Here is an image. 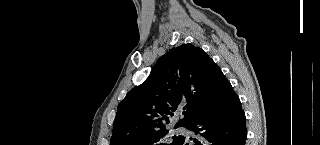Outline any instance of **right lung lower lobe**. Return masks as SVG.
Masks as SVG:
<instances>
[{"mask_svg":"<svg viewBox=\"0 0 320 145\" xmlns=\"http://www.w3.org/2000/svg\"><path fill=\"white\" fill-rule=\"evenodd\" d=\"M245 122L240 100L223 75L214 89L209 108L185 125L202 138L196 140L183 136L178 145H245Z\"/></svg>","mask_w":320,"mask_h":145,"instance_id":"right-lung-lower-lobe-1","label":"right lung lower lobe"}]
</instances>
